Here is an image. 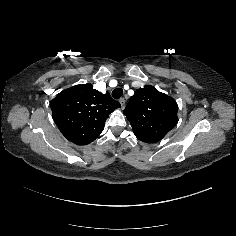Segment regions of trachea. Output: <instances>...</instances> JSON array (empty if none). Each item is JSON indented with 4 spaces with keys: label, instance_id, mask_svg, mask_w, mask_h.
<instances>
[{
    "label": "trachea",
    "instance_id": "1",
    "mask_svg": "<svg viewBox=\"0 0 236 236\" xmlns=\"http://www.w3.org/2000/svg\"><path fill=\"white\" fill-rule=\"evenodd\" d=\"M123 95V89L122 88H116L112 91V97L114 99H119Z\"/></svg>",
    "mask_w": 236,
    "mask_h": 236
}]
</instances>
